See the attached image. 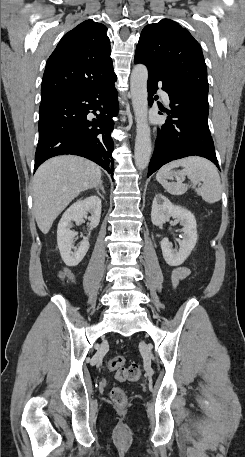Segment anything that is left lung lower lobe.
<instances>
[{
	"label": "left lung lower lobe",
	"mask_w": 245,
	"mask_h": 457,
	"mask_svg": "<svg viewBox=\"0 0 245 457\" xmlns=\"http://www.w3.org/2000/svg\"><path fill=\"white\" fill-rule=\"evenodd\" d=\"M134 62L143 63L148 68L149 104H153L152 96L156 93L159 82L162 83V89L168 93L170 99L171 110L159 105L163 112H159V114L168 115L169 120L158 131L155 152L149 164L147 177L164 164L188 156L207 158L220 169L208 126V108L190 104L187 100L180 98L178 96L179 87L163 77L156 67L138 58H134Z\"/></svg>",
	"instance_id": "left-lung-lower-lobe-1"
}]
</instances>
